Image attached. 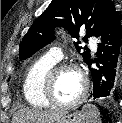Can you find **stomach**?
<instances>
[{
	"label": "stomach",
	"mask_w": 122,
	"mask_h": 123,
	"mask_svg": "<svg viewBox=\"0 0 122 123\" xmlns=\"http://www.w3.org/2000/svg\"><path fill=\"white\" fill-rule=\"evenodd\" d=\"M53 123H88V119L83 111L73 113L64 111L62 116Z\"/></svg>",
	"instance_id": "stomach-1"
}]
</instances>
